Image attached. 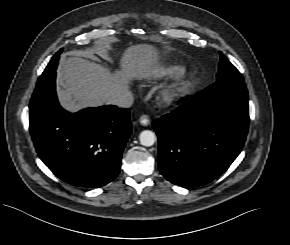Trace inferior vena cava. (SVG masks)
Returning a JSON list of instances; mask_svg holds the SVG:
<instances>
[{
	"label": "inferior vena cava",
	"mask_w": 290,
	"mask_h": 245,
	"mask_svg": "<svg viewBox=\"0 0 290 245\" xmlns=\"http://www.w3.org/2000/svg\"><path fill=\"white\" fill-rule=\"evenodd\" d=\"M110 104L116 105L120 108H130L133 104L131 92H124L111 98Z\"/></svg>",
	"instance_id": "602c4592"
}]
</instances>
